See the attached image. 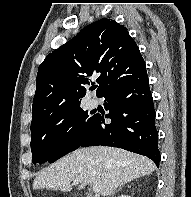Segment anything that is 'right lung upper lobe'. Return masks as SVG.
Listing matches in <instances>:
<instances>
[{
  "mask_svg": "<svg viewBox=\"0 0 191 197\" xmlns=\"http://www.w3.org/2000/svg\"><path fill=\"white\" fill-rule=\"evenodd\" d=\"M143 66L145 62L127 28L107 18L86 26L39 66L31 128L80 105L92 77L98 76L100 96L108 86Z\"/></svg>",
  "mask_w": 191,
  "mask_h": 197,
  "instance_id": "cb5924a9",
  "label": "right lung upper lobe"
}]
</instances>
